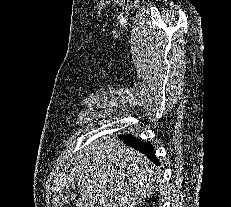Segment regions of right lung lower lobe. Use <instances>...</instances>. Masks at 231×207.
<instances>
[{"instance_id":"98d812e1","label":"right lung lower lobe","mask_w":231,"mask_h":207,"mask_svg":"<svg viewBox=\"0 0 231 207\" xmlns=\"http://www.w3.org/2000/svg\"><path fill=\"white\" fill-rule=\"evenodd\" d=\"M119 137L122 139L124 138L126 144H128V145L132 146L133 148H135L136 150L144 153L155 164H159L158 160L155 159L154 148L151 144L144 143L138 139H135L131 135H127V136L120 135Z\"/></svg>"}]
</instances>
